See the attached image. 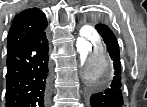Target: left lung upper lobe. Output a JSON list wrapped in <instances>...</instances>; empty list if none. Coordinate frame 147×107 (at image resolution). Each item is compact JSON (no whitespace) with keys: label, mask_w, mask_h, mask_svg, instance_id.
<instances>
[{"label":"left lung upper lobe","mask_w":147,"mask_h":107,"mask_svg":"<svg viewBox=\"0 0 147 107\" xmlns=\"http://www.w3.org/2000/svg\"><path fill=\"white\" fill-rule=\"evenodd\" d=\"M100 20H101V19H100V18H98V17H97V18H95V21H100ZM100 24H102V23L97 24V25H96V27H97L98 25H100Z\"/></svg>","instance_id":"left-lung-upper-lobe-1"}]
</instances>
